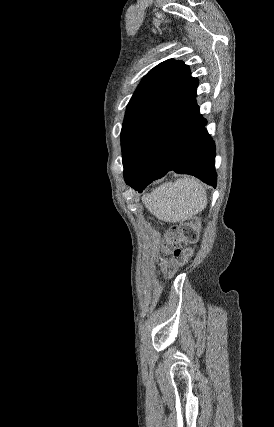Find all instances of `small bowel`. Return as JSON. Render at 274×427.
Returning a JSON list of instances; mask_svg holds the SVG:
<instances>
[{"mask_svg": "<svg viewBox=\"0 0 274 427\" xmlns=\"http://www.w3.org/2000/svg\"><path fill=\"white\" fill-rule=\"evenodd\" d=\"M163 253H164V255H166V256L168 255L170 257H181L184 254V251L181 249L180 251H164ZM173 266L176 270H183L185 267V264L183 261H176ZM158 268H159V270H157L155 273L156 276L159 278L161 277V282L163 284H168L170 282L169 276H174L175 272L174 271H167L165 273L164 270H167L169 268V263L167 261H160L158 263Z\"/></svg>", "mask_w": 274, "mask_h": 427, "instance_id": "c3829d8e", "label": "small bowel"}]
</instances>
